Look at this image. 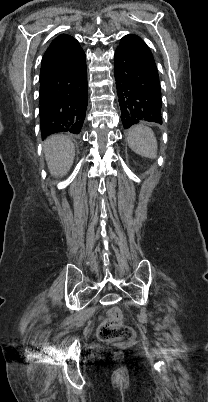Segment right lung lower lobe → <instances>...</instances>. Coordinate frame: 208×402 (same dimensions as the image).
I'll return each mask as SVG.
<instances>
[{
	"instance_id": "98d812e1",
	"label": "right lung lower lobe",
	"mask_w": 208,
	"mask_h": 402,
	"mask_svg": "<svg viewBox=\"0 0 208 402\" xmlns=\"http://www.w3.org/2000/svg\"><path fill=\"white\" fill-rule=\"evenodd\" d=\"M42 139L53 133L79 134L88 103L86 57L78 41L62 34L46 50L40 71Z\"/></svg>"
}]
</instances>
